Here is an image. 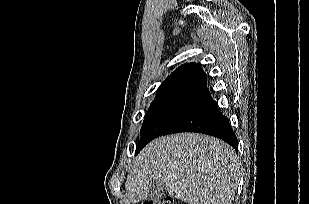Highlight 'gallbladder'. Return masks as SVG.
Returning <instances> with one entry per match:
<instances>
[{"instance_id": "bac80fb5", "label": "gallbladder", "mask_w": 309, "mask_h": 204, "mask_svg": "<svg viewBox=\"0 0 309 204\" xmlns=\"http://www.w3.org/2000/svg\"><path fill=\"white\" fill-rule=\"evenodd\" d=\"M165 185L160 180H152L149 185L148 198L152 201L161 199L164 192Z\"/></svg>"}]
</instances>
